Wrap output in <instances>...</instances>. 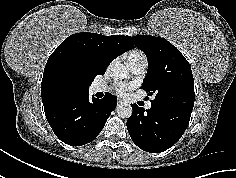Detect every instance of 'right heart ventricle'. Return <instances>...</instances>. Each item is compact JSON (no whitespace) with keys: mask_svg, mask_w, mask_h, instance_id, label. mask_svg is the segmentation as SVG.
Here are the masks:
<instances>
[{"mask_svg":"<svg viewBox=\"0 0 236 178\" xmlns=\"http://www.w3.org/2000/svg\"><path fill=\"white\" fill-rule=\"evenodd\" d=\"M143 60L146 61V56L139 49H133L132 51L128 53V56H127L128 64H133V63L143 61Z\"/></svg>","mask_w":236,"mask_h":178,"instance_id":"right-heart-ventricle-1","label":"right heart ventricle"}]
</instances>
